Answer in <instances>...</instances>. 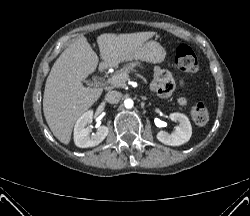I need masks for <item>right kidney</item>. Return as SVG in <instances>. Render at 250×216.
Here are the masks:
<instances>
[{
  "label": "right kidney",
  "mask_w": 250,
  "mask_h": 216,
  "mask_svg": "<svg viewBox=\"0 0 250 216\" xmlns=\"http://www.w3.org/2000/svg\"><path fill=\"white\" fill-rule=\"evenodd\" d=\"M93 111L85 112L76 122L74 127V142L77 147L88 148L100 144L108 135L109 129L106 126L97 128L96 133H92L88 126L92 122Z\"/></svg>",
  "instance_id": "1"
}]
</instances>
